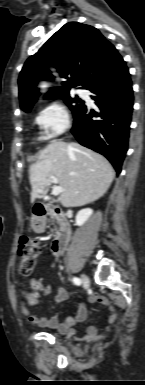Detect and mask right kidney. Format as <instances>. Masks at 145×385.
<instances>
[{"mask_svg": "<svg viewBox=\"0 0 145 385\" xmlns=\"http://www.w3.org/2000/svg\"><path fill=\"white\" fill-rule=\"evenodd\" d=\"M93 211L90 208L80 210L76 215V225L82 226L92 215Z\"/></svg>", "mask_w": 145, "mask_h": 385, "instance_id": "obj_1", "label": "right kidney"}]
</instances>
